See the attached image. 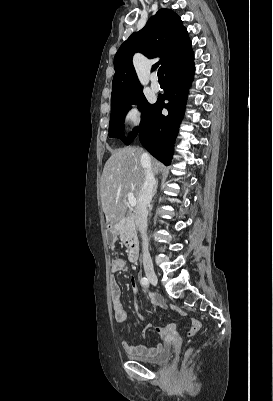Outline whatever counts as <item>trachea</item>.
<instances>
[{"instance_id": "3493384b", "label": "trachea", "mask_w": 273, "mask_h": 401, "mask_svg": "<svg viewBox=\"0 0 273 401\" xmlns=\"http://www.w3.org/2000/svg\"><path fill=\"white\" fill-rule=\"evenodd\" d=\"M158 80L165 81L164 71L162 67L158 69Z\"/></svg>"}]
</instances>
